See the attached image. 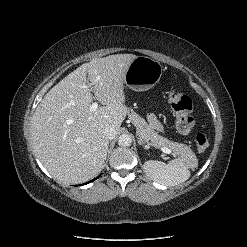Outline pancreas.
Masks as SVG:
<instances>
[{
    "mask_svg": "<svg viewBox=\"0 0 247 247\" xmlns=\"http://www.w3.org/2000/svg\"><path fill=\"white\" fill-rule=\"evenodd\" d=\"M129 119L136 127L137 136L143 143H149L154 147L161 148L166 147L173 151V155L184 159L185 161L193 160L195 158L192 150L185 144L170 141L157 132H155L146 121L140 117L137 113L131 110Z\"/></svg>",
    "mask_w": 247,
    "mask_h": 247,
    "instance_id": "obj_1",
    "label": "pancreas"
}]
</instances>
